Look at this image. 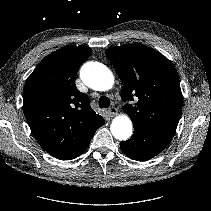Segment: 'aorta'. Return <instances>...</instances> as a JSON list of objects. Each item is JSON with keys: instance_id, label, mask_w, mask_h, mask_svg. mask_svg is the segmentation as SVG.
Returning a JSON list of instances; mask_svg holds the SVG:
<instances>
[{"instance_id": "1", "label": "aorta", "mask_w": 211, "mask_h": 211, "mask_svg": "<svg viewBox=\"0 0 211 211\" xmlns=\"http://www.w3.org/2000/svg\"><path fill=\"white\" fill-rule=\"evenodd\" d=\"M82 81L90 88L98 91L109 90L114 83L110 69L99 62H88L80 70ZM132 122L127 115L115 117L111 123L112 135L121 141L127 140L132 134Z\"/></svg>"}]
</instances>
